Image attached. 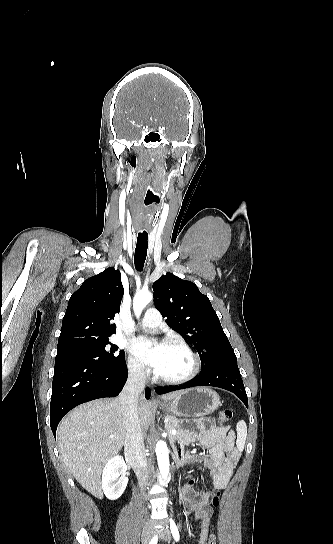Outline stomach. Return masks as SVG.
Returning a JSON list of instances; mask_svg holds the SVG:
<instances>
[{
	"instance_id": "1",
	"label": "stomach",
	"mask_w": 333,
	"mask_h": 544,
	"mask_svg": "<svg viewBox=\"0 0 333 544\" xmlns=\"http://www.w3.org/2000/svg\"><path fill=\"white\" fill-rule=\"evenodd\" d=\"M220 406L219 395L210 388H191L182 391L165 406L168 412L184 417H203Z\"/></svg>"
}]
</instances>
